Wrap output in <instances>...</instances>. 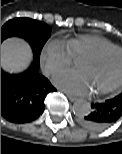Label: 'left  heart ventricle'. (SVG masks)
<instances>
[{"label": "left heart ventricle", "mask_w": 122, "mask_h": 154, "mask_svg": "<svg viewBox=\"0 0 122 154\" xmlns=\"http://www.w3.org/2000/svg\"><path fill=\"white\" fill-rule=\"evenodd\" d=\"M93 91H100L112 85L122 74V53L111 52L100 60L82 58L78 62Z\"/></svg>", "instance_id": "1"}]
</instances>
